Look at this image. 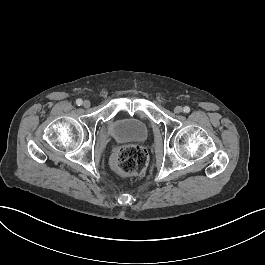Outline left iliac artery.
<instances>
[{"label":"left iliac artery","instance_id":"1","mask_svg":"<svg viewBox=\"0 0 265 265\" xmlns=\"http://www.w3.org/2000/svg\"><path fill=\"white\" fill-rule=\"evenodd\" d=\"M183 111L185 113H189L190 112V108L188 106H185L184 109H183Z\"/></svg>","mask_w":265,"mask_h":265}]
</instances>
